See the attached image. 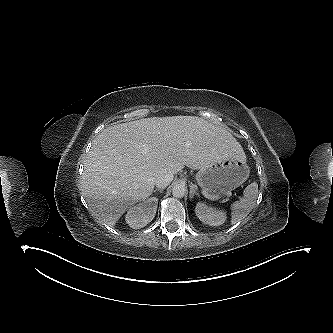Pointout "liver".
Instances as JSON below:
<instances>
[{"mask_svg":"<svg viewBox=\"0 0 333 333\" xmlns=\"http://www.w3.org/2000/svg\"><path fill=\"white\" fill-rule=\"evenodd\" d=\"M236 158L245 153L224 127L195 116L144 118L107 127L94 139L81 192L93 216L114 226L152 194L158 175Z\"/></svg>","mask_w":333,"mask_h":333,"instance_id":"1","label":"liver"}]
</instances>
